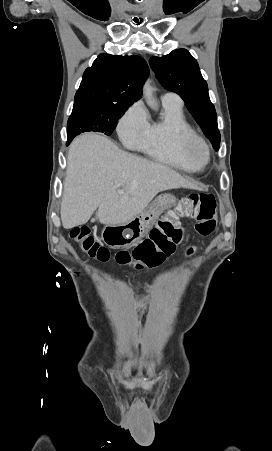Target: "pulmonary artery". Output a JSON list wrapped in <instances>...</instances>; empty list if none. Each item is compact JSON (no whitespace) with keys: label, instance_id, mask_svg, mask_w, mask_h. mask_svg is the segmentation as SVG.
Listing matches in <instances>:
<instances>
[{"label":"pulmonary artery","instance_id":"e3ab8cb5","mask_svg":"<svg viewBox=\"0 0 272 451\" xmlns=\"http://www.w3.org/2000/svg\"><path fill=\"white\" fill-rule=\"evenodd\" d=\"M161 101L163 104H169L176 108H182L183 102L182 99L174 93H165L161 97Z\"/></svg>","mask_w":272,"mask_h":451}]
</instances>
